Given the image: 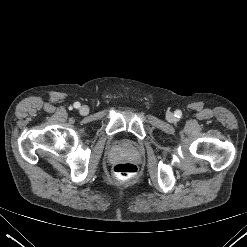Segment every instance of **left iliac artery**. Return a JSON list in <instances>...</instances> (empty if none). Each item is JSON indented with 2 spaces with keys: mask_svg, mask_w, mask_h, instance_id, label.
<instances>
[{
  "mask_svg": "<svg viewBox=\"0 0 247 247\" xmlns=\"http://www.w3.org/2000/svg\"><path fill=\"white\" fill-rule=\"evenodd\" d=\"M175 116L178 117V118H180L182 116V112L180 110H177L175 112Z\"/></svg>",
  "mask_w": 247,
  "mask_h": 247,
  "instance_id": "44dca946",
  "label": "left iliac artery"
}]
</instances>
